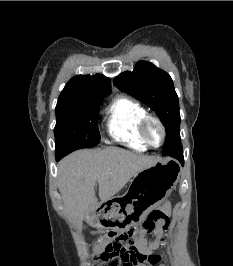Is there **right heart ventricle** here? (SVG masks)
Wrapping results in <instances>:
<instances>
[{
    "instance_id": "right-heart-ventricle-1",
    "label": "right heart ventricle",
    "mask_w": 233,
    "mask_h": 266,
    "mask_svg": "<svg viewBox=\"0 0 233 266\" xmlns=\"http://www.w3.org/2000/svg\"><path fill=\"white\" fill-rule=\"evenodd\" d=\"M146 115V109L136 100L127 96L117 97L107 110L109 135L135 150L145 151L147 145L140 137L139 125Z\"/></svg>"
}]
</instances>
